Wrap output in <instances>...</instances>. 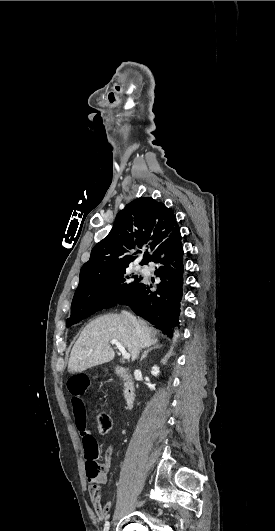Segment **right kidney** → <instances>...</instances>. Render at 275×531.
I'll return each instance as SVG.
<instances>
[{
    "instance_id": "ca27d5eb",
    "label": "right kidney",
    "mask_w": 275,
    "mask_h": 531,
    "mask_svg": "<svg viewBox=\"0 0 275 531\" xmlns=\"http://www.w3.org/2000/svg\"><path fill=\"white\" fill-rule=\"evenodd\" d=\"M159 373V367H157V365H154V367H152L151 369V375H153V377H158Z\"/></svg>"
}]
</instances>
